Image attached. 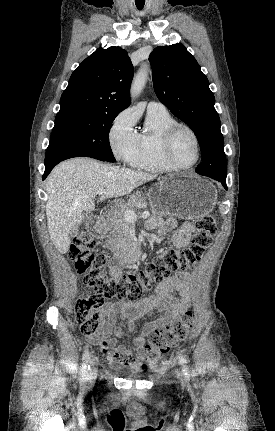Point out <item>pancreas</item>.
Listing matches in <instances>:
<instances>
[{"instance_id":"1","label":"pancreas","mask_w":275,"mask_h":431,"mask_svg":"<svg viewBox=\"0 0 275 431\" xmlns=\"http://www.w3.org/2000/svg\"><path fill=\"white\" fill-rule=\"evenodd\" d=\"M147 200L141 192L131 195L127 203L117 208L109 219L107 225L106 246L109 250L116 252L131 242L130 222L125 219V210H133L137 206H144Z\"/></svg>"}]
</instances>
